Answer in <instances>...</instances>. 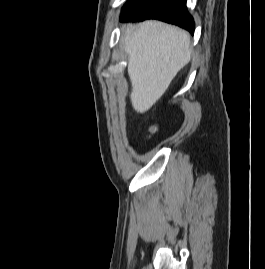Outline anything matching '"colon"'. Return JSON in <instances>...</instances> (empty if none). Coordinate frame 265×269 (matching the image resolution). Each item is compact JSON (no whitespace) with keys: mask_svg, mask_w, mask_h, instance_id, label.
Masks as SVG:
<instances>
[{"mask_svg":"<svg viewBox=\"0 0 265 269\" xmlns=\"http://www.w3.org/2000/svg\"><path fill=\"white\" fill-rule=\"evenodd\" d=\"M156 130H157V128H156L155 126L151 127V129H150V131H151L152 133L156 132Z\"/></svg>","mask_w":265,"mask_h":269,"instance_id":"5ec220e1","label":"colon"}]
</instances>
